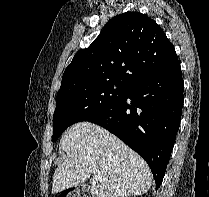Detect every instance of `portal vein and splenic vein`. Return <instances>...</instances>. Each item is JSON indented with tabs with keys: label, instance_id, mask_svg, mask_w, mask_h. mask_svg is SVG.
Segmentation results:
<instances>
[{
	"label": "portal vein and splenic vein",
	"instance_id": "1",
	"mask_svg": "<svg viewBox=\"0 0 209 197\" xmlns=\"http://www.w3.org/2000/svg\"><path fill=\"white\" fill-rule=\"evenodd\" d=\"M93 172H94V173H97V172H98V170H97V169H94V170H93Z\"/></svg>",
	"mask_w": 209,
	"mask_h": 197
}]
</instances>
